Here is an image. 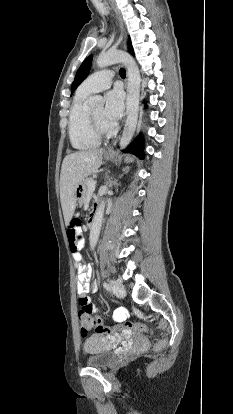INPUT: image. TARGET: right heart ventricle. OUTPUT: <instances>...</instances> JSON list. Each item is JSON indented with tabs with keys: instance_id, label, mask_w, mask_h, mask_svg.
Here are the masks:
<instances>
[{
	"instance_id": "e07e8e85",
	"label": "right heart ventricle",
	"mask_w": 233,
	"mask_h": 414,
	"mask_svg": "<svg viewBox=\"0 0 233 414\" xmlns=\"http://www.w3.org/2000/svg\"><path fill=\"white\" fill-rule=\"evenodd\" d=\"M89 94L79 88L69 111V139L72 146L78 150L96 148L100 144V137L91 131L88 122V109L85 106V100Z\"/></svg>"
}]
</instances>
